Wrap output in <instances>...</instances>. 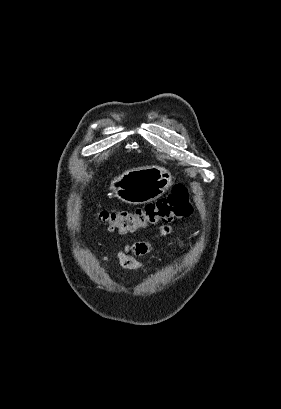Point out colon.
I'll list each match as a JSON object with an SVG mask.
<instances>
[{"label":"colon","instance_id":"colon-1","mask_svg":"<svg viewBox=\"0 0 281 409\" xmlns=\"http://www.w3.org/2000/svg\"><path fill=\"white\" fill-rule=\"evenodd\" d=\"M188 189L178 185L173 192L155 202L134 209L105 210L100 219L121 234L133 233L161 222H170L188 215Z\"/></svg>","mask_w":281,"mask_h":409}]
</instances>
